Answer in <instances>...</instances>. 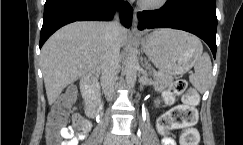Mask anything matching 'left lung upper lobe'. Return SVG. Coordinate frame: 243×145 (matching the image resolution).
<instances>
[{
  "label": "left lung upper lobe",
  "instance_id": "5c2ea615",
  "mask_svg": "<svg viewBox=\"0 0 243 145\" xmlns=\"http://www.w3.org/2000/svg\"><path fill=\"white\" fill-rule=\"evenodd\" d=\"M194 3L195 5H203L207 7H215L216 0H186Z\"/></svg>",
  "mask_w": 243,
  "mask_h": 145
}]
</instances>
